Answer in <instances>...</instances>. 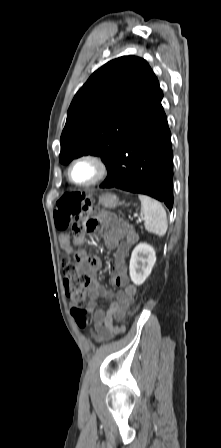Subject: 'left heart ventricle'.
Returning a JSON list of instances; mask_svg holds the SVG:
<instances>
[{"mask_svg":"<svg viewBox=\"0 0 221 448\" xmlns=\"http://www.w3.org/2000/svg\"><path fill=\"white\" fill-rule=\"evenodd\" d=\"M97 175V168L94 164L82 161L76 163L71 171L72 179L78 183H85L94 179Z\"/></svg>","mask_w":221,"mask_h":448,"instance_id":"left-heart-ventricle-1","label":"left heart ventricle"}]
</instances>
